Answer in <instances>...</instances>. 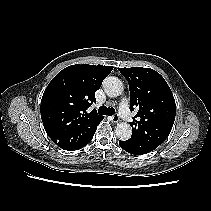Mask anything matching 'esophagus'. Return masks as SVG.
I'll return each mask as SVG.
<instances>
[{
  "instance_id": "1",
  "label": "esophagus",
  "mask_w": 211,
  "mask_h": 211,
  "mask_svg": "<svg viewBox=\"0 0 211 211\" xmlns=\"http://www.w3.org/2000/svg\"><path fill=\"white\" fill-rule=\"evenodd\" d=\"M119 120H120V118H119V115H118V114H115V115H113V116L111 117V121H112L113 123H118Z\"/></svg>"
}]
</instances>
